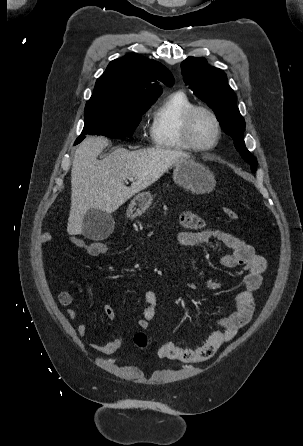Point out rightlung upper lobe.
I'll return each mask as SVG.
<instances>
[{
	"instance_id": "cb5924a9",
	"label": "right lung upper lobe",
	"mask_w": 303,
	"mask_h": 446,
	"mask_svg": "<svg viewBox=\"0 0 303 446\" xmlns=\"http://www.w3.org/2000/svg\"><path fill=\"white\" fill-rule=\"evenodd\" d=\"M160 83L174 84L171 72L161 63L129 54L111 61L97 79L94 92L86 107L151 106L161 95Z\"/></svg>"
}]
</instances>
